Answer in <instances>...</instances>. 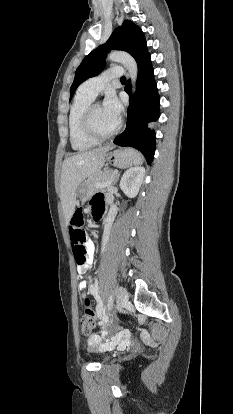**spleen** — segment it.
Listing matches in <instances>:
<instances>
[{"label":"spleen","instance_id":"3e777b00","mask_svg":"<svg viewBox=\"0 0 233 414\" xmlns=\"http://www.w3.org/2000/svg\"><path fill=\"white\" fill-rule=\"evenodd\" d=\"M126 150L133 153L136 157L134 162H133V165H141L142 164V157L137 151H135L133 149H126Z\"/></svg>","mask_w":233,"mask_h":414}]
</instances>
